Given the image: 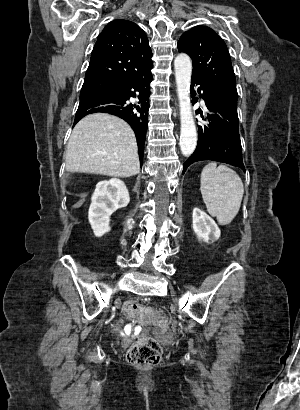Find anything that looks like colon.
Returning <instances> with one entry per match:
<instances>
[{
	"label": "colon",
	"instance_id": "obj_1",
	"mask_svg": "<svg viewBox=\"0 0 300 410\" xmlns=\"http://www.w3.org/2000/svg\"><path fill=\"white\" fill-rule=\"evenodd\" d=\"M124 310L129 316L141 317L136 319L137 327L149 325L150 329H155L156 324L163 326L168 320L166 315H160L158 308L151 309L136 301H127L124 305ZM161 358V345L150 337H144L133 344L126 356L128 363L138 367L157 365Z\"/></svg>",
	"mask_w": 300,
	"mask_h": 410
}]
</instances>
